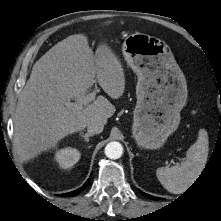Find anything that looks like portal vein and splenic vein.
<instances>
[{"label":"portal vein and splenic vein","mask_w":221,"mask_h":221,"mask_svg":"<svg viewBox=\"0 0 221 221\" xmlns=\"http://www.w3.org/2000/svg\"><path fill=\"white\" fill-rule=\"evenodd\" d=\"M96 92H97V88L92 92L90 93L87 97H86V100L84 101V105L88 104L89 102H91L94 98H95V95H96ZM65 105L67 107H75V108H78V109H81L82 106L81 105H78L76 103H72L70 101H67L65 103Z\"/></svg>","instance_id":"18ae733b"}]
</instances>
